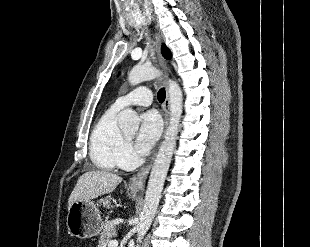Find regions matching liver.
<instances>
[{"label": "liver", "mask_w": 310, "mask_h": 247, "mask_svg": "<svg viewBox=\"0 0 310 247\" xmlns=\"http://www.w3.org/2000/svg\"><path fill=\"white\" fill-rule=\"evenodd\" d=\"M122 178L108 171L91 170L82 174L68 199V209L75 201H91L111 193Z\"/></svg>", "instance_id": "6515ba94"}]
</instances>
